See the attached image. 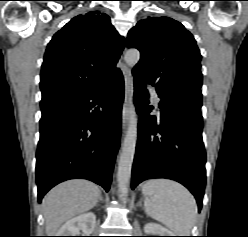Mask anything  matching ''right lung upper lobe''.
<instances>
[{"instance_id": "1", "label": "right lung upper lobe", "mask_w": 248, "mask_h": 237, "mask_svg": "<svg viewBox=\"0 0 248 237\" xmlns=\"http://www.w3.org/2000/svg\"><path fill=\"white\" fill-rule=\"evenodd\" d=\"M125 46L110 18L91 11L71 19L49 42L41 68L42 100L85 91L121 72Z\"/></svg>"}]
</instances>
